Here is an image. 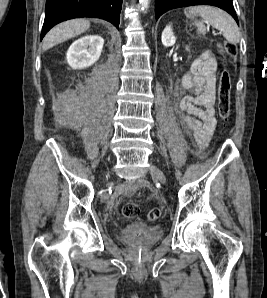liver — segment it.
<instances>
[{
  "mask_svg": "<svg viewBox=\"0 0 267 298\" xmlns=\"http://www.w3.org/2000/svg\"><path fill=\"white\" fill-rule=\"evenodd\" d=\"M90 27V21L85 19H73L52 28L44 37L43 49L48 50L53 46L67 41L86 32Z\"/></svg>",
  "mask_w": 267,
  "mask_h": 298,
  "instance_id": "1",
  "label": "liver"
}]
</instances>
